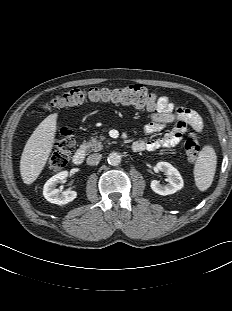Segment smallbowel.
I'll use <instances>...</instances> for the list:
<instances>
[{
  "mask_svg": "<svg viewBox=\"0 0 232 311\" xmlns=\"http://www.w3.org/2000/svg\"><path fill=\"white\" fill-rule=\"evenodd\" d=\"M169 126H172L171 130L162 138L138 141L144 143L143 150L155 151L174 147L181 142L189 128L201 132L203 120L195 110L188 107H177L167 96H161L158 99L156 109L148 116V122L144 126V133L152 135Z\"/></svg>",
  "mask_w": 232,
  "mask_h": 311,
  "instance_id": "obj_1",
  "label": "small bowel"
}]
</instances>
